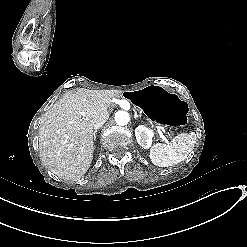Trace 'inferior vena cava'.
Here are the masks:
<instances>
[{
	"label": "inferior vena cava",
	"mask_w": 247,
	"mask_h": 247,
	"mask_svg": "<svg viewBox=\"0 0 247 247\" xmlns=\"http://www.w3.org/2000/svg\"><path fill=\"white\" fill-rule=\"evenodd\" d=\"M105 122H106V120H99L98 122H96L93 125V129H95V130L100 129L104 125Z\"/></svg>",
	"instance_id": "inferior-vena-cava-1"
}]
</instances>
